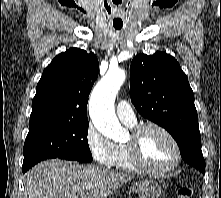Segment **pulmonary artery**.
I'll use <instances>...</instances> for the list:
<instances>
[{
    "label": "pulmonary artery",
    "mask_w": 221,
    "mask_h": 198,
    "mask_svg": "<svg viewBox=\"0 0 221 198\" xmlns=\"http://www.w3.org/2000/svg\"><path fill=\"white\" fill-rule=\"evenodd\" d=\"M116 112H117L119 119L123 123L128 124V125H133L136 123L135 113L127 101L125 100L119 101L116 106Z\"/></svg>",
    "instance_id": "obj_1"
}]
</instances>
